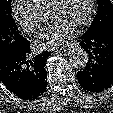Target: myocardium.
I'll list each match as a JSON object with an SVG mask.
<instances>
[{
    "instance_id": "1",
    "label": "myocardium",
    "mask_w": 113,
    "mask_h": 113,
    "mask_svg": "<svg viewBox=\"0 0 113 113\" xmlns=\"http://www.w3.org/2000/svg\"><path fill=\"white\" fill-rule=\"evenodd\" d=\"M60 2V0H52L50 1L47 9H46V15L51 12L56 6L57 4ZM94 0H88V9H87V13L86 16L84 17V19L82 21H80L75 28L77 30L82 29L84 27H86L92 20L93 15H94Z\"/></svg>"
}]
</instances>
